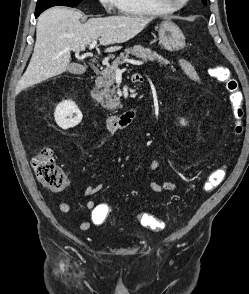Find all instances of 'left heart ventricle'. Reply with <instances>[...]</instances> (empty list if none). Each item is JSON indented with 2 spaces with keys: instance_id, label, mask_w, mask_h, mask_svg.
Instances as JSON below:
<instances>
[{
  "instance_id": "left-heart-ventricle-1",
  "label": "left heart ventricle",
  "mask_w": 249,
  "mask_h": 294,
  "mask_svg": "<svg viewBox=\"0 0 249 294\" xmlns=\"http://www.w3.org/2000/svg\"><path fill=\"white\" fill-rule=\"evenodd\" d=\"M168 1H169V3H171V4L176 5V4L181 3V2L184 1V0H168Z\"/></svg>"
}]
</instances>
